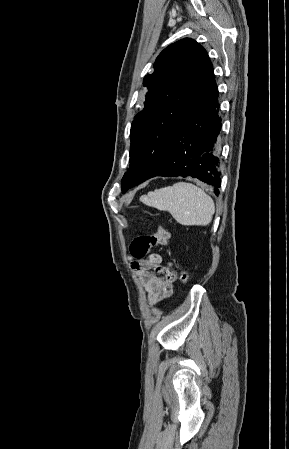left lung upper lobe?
<instances>
[{
  "label": "left lung upper lobe",
  "instance_id": "left-lung-upper-lobe-1",
  "mask_svg": "<svg viewBox=\"0 0 289 449\" xmlns=\"http://www.w3.org/2000/svg\"><path fill=\"white\" fill-rule=\"evenodd\" d=\"M212 72L206 50L189 38L169 45L157 57L154 72L143 82L148 88L145 107L131 125L123 192L160 173L167 137L190 115Z\"/></svg>",
  "mask_w": 289,
  "mask_h": 449
}]
</instances>
